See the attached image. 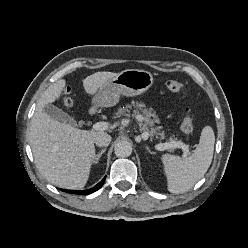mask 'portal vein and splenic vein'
I'll return each mask as SVG.
<instances>
[{"label":"portal vein and splenic vein","instance_id":"portal-vein-and-splenic-vein-1","mask_svg":"<svg viewBox=\"0 0 248 248\" xmlns=\"http://www.w3.org/2000/svg\"><path fill=\"white\" fill-rule=\"evenodd\" d=\"M109 128V123L108 122H97L93 124V129L97 131H104ZM141 137L144 140H147L149 137L148 132H144ZM174 149V148H181L184 151V155L186 156L189 152L188 146L185 145L184 143H179V142H171V143H160L156 145V149L159 151H163L166 149Z\"/></svg>","mask_w":248,"mask_h":248}]
</instances>
